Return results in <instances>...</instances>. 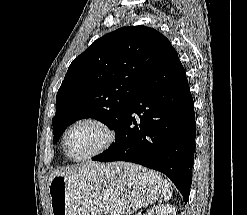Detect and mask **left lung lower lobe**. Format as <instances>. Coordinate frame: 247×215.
Segmentation results:
<instances>
[{"instance_id": "obj_1", "label": "left lung lower lobe", "mask_w": 247, "mask_h": 215, "mask_svg": "<svg viewBox=\"0 0 247 215\" xmlns=\"http://www.w3.org/2000/svg\"><path fill=\"white\" fill-rule=\"evenodd\" d=\"M115 133L114 144L94 161H127L160 171L188 201L195 114L185 70L171 44L137 89Z\"/></svg>"}]
</instances>
